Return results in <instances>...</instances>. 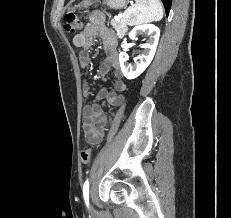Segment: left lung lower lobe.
<instances>
[{"instance_id": "0a47b994", "label": "left lung lower lobe", "mask_w": 231, "mask_h": 218, "mask_svg": "<svg viewBox=\"0 0 231 218\" xmlns=\"http://www.w3.org/2000/svg\"><path fill=\"white\" fill-rule=\"evenodd\" d=\"M161 1L163 2V5L165 7L166 14L168 15L169 11H170L172 0H161Z\"/></svg>"}]
</instances>
